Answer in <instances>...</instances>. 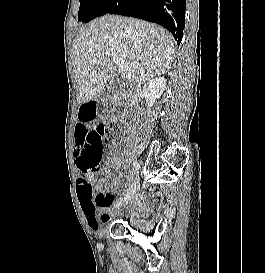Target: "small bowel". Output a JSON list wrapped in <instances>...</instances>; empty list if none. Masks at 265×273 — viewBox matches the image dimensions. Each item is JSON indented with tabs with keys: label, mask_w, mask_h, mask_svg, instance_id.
<instances>
[{
	"label": "small bowel",
	"mask_w": 265,
	"mask_h": 273,
	"mask_svg": "<svg viewBox=\"0 0 265 273\" xmlns=\"http://www.w3.org/2000/svg\"><path fill=\"white\" fill-rule=\"evenodd\" d=\"M80 109L78 110V118L79 123H94L95 114H96V107L95 103H80ZM74 129H89V124H74ZM75 165L80 174L77 180V187H78V197L80 201V205L83 211L84 216L86 217L87 224L92 230H97L101 224L106 223L109 220V215H107L106 211L108 208L115 204V196L111 193H105L104 189V182L98 178H94V190L96 192L93 195L86 196L80 192L82 181L85 179L83 172L80 168V159L75 150ZM111 164L114 167H119L121 162L117 156H113L111 158ZM105 211L104 213L99 214V212Z\"/></svg>",
	"instance_id": "c3829d8e"
}]
</instances>
